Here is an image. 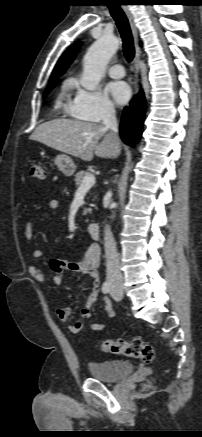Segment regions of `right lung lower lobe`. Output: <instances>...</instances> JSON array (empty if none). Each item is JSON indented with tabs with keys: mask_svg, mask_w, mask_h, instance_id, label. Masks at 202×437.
Instances as JSON below:
<instances>
[{
	"mask_svg": "<svg viewBox=\"0 0 202 437\" xmlns=\"http://www.w3.org/2000/svg\"><path fill=\"white\" fill-rule=\"evenodd\" d=\"M146 110V101L142 91L123 110L120 135L122 140L131 146L141 137Z\"/></svg>",
	"mask_w": 202,
	"mask_h": 437,
	"instance_id": "1",
	"label": "right lung lower lobe"
}]
</instances>
